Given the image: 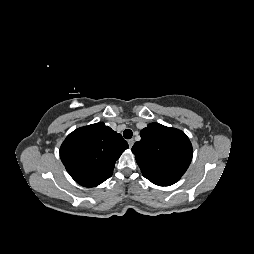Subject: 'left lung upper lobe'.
<instances>
[{
  "mask_svg": "<svg viewBox=\"0 0 254 254\" xmlns=\"http://www.w3.org/2000/svg\"><path fill=\"white\" fill-rule=\"evenodd\" d=\"M141 140L132 147L142 175L159 186L176 183L192 160V145L179 129L150 123L140 132Z\"/></svg>",
  "mask_w": 254,
  "mask_h": 254,
  "instance_id": "obj_1",
  "label": "left lung upper lobe"
}]
</instances>
